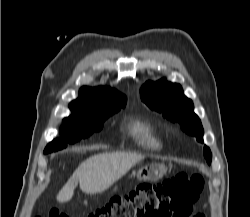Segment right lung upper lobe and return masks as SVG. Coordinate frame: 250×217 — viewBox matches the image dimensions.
Instances as JSON below:
<instances>
[{
	"mask_svg": "<svg viewBox=\"0 0 250 217\" xmlns=\"http://www.w3.org/2000/svg\"><path fill=\"white\" fill-rule=\"evenodd\" d=\"M125 104L126 97L114 89L84 86L79 97L69 104L72 114L63 122L87 121L99 114L119 110Z\"/></svg>",
	"mask_w": 250,
	"mask_h": 217,
	"instance_id": "obj_1",
	"label": "right lung upper lobe"
}]
</instances>
